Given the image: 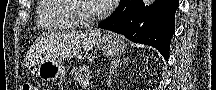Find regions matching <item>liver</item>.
<instances>
[{
  "mask_svg": "<svg viewBox=\"0 0 216 90\" xmlns=\"http://www.w3.org/2000/svg\"><path fill=\"white\" fill-rule=\"evenodd\" d=\"M67 58L78 56L80 52L92 50L98 40H101L99 30H85V32H68L65 36Z\"/></svg>",
  "mask_w": 216,
  "mask_h": 90,
  "instance_id": "obj_1",
  "label": "liver"
}]
</instances>
